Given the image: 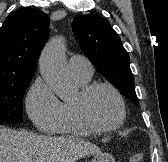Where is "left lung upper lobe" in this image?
Listing matches in <instances>:
<instances>
[{
	"label": "left lung upper lobe",
	"instance_id": "1",
	"mask_svg": "<svg viewBox=\"0 0 168 162\" xmlns=\"http://www.w3.org/2000/svg\"><path fill=\"white\" fill-rule=\"evenodd\" d=\"M72 30L81 50L97 71L138 105L129 55L109 22L95 14L79 15L72 22Z\"/></svg>",
	"mask_w": 168,
	"mask_h": 162
}]
</instances>
